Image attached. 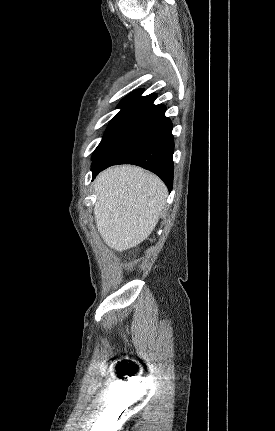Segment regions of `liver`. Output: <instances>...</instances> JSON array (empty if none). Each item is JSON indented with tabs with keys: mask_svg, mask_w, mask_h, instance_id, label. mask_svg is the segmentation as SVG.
I'll return each instance as SVG.
<instances>
[{
	"mask_svg": "<svg viewBox=\"0 0 275 431\" xmlns=\"http://www.w3.org/2000/svg\"><path fill=\"white\" fill-rule=\"evenodd\" d=\"M94 188L98 232L109 247L120 252L151 234L168 195L159 177L136 166L108 168L97 176Z\"/></svg>",
	"mask_w": 275,
	"mask_h": 431,
	"instance_id": "liver-1",
	"label": "liver"
}]
</instances>
